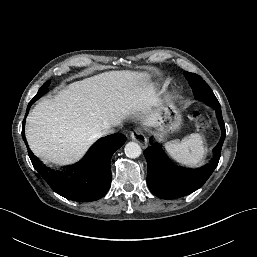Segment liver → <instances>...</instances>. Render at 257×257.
<instances>
[{
	"instance_id": "liver-1",
	"label": "liver",
	"mask_w": 257,
	"mask_h": 257,
	"mask_svg": "<svg viewBox=\"0 0 257 257\" xmlns=\"http://www.w3.org/2000/svg\"><path fill=\"white\" fill-rule=\"evenodd\" d=\"M160 93L145 72L110 71L69 84L29 113L26 138L35 155L59 166L78 161L110 127L131 114L155 127Z\"/></svg>"
}]
</instances>
